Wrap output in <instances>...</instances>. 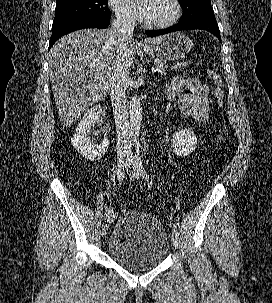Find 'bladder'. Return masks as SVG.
Returning <instances> with one entry per match:
<instances>
[{"label":"bladder","mask_w":272,"mask_h":303,"mask_svg":"<svg viewBox=\"0 0 272 303\" xmlns=\"http://www.w3.org/2000/svg\"><path fill=\"white\" fill-rule=\"evenodd\" d=\"M169 250L167 232L154 216L131 211L115 223L109 237L108 255L132 271L150 270L160 265Z\"/></svg>","instance_id":"bladder-1"}]
</instances>
